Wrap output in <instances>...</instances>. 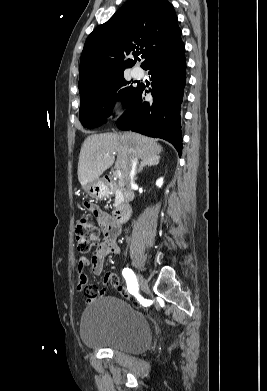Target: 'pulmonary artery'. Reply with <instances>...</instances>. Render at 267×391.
<instances>
[{
	"mask_svg": "<svg viewBox=\"0 0 267 391\" xmlns=\"http://www.w3.org/2000/svg\"><path fill=\"white\" fill-rule=\"evenodd\" d=\"M132 75L135 77V78H142L143 75H144V72L142 69L140 68H134L133 71H132Z\"/></svg>",
	"mask_w": 267,
	"mask_h": 391,
	"instance_id": "obj_1",
	"label": "pulmonary artery"
}]
</instances>
